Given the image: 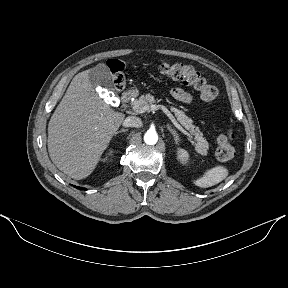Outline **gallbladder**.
<instances>
[{
  "label": "gallbladder",
  "mask_w": 288,
  "mask_h": 288,
  "mask_svg": "<svg viewBox=\"0 0 288 288\" xmlns=\"http://www.w3.org/2000/svg\"><path fill=\"white\" fill-rule=\"evenodd\" d=\"M89 80L93 86H102L108 90H113L111 73L104 63H99L89 70Z\"/></svg>",
  "instance_id": "bac80fb5"
}]
</instances>
